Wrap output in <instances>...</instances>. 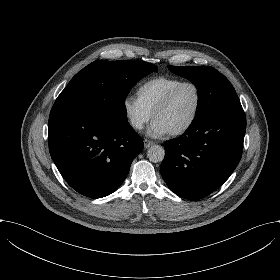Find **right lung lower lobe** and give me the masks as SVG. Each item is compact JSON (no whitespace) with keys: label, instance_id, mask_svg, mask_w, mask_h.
<instances>
[{"label":"right lung lower lobe","instance_id":"obj_1","mask_svg":"<svg viewBox=\"0 0 280 280\" xmlns=\"http://www.w3.org/2000/svg\"><path fill=\"white\" fill-rule=\"evenodd\" d=\"M48 142L63 178L90 198L114 192L143 149V139L127 120L101 117L74 106H53Z\"/></svg>","mask_w":280,"mask_h":280}]
</instances>
